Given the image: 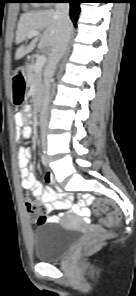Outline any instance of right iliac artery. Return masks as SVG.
Here are the masks:
<instances>
[{
  "instance_id": "right-iliac-artery-1",
  "label": "right iliac artery",
  "mask_w": 136,
  "mask_h": 296,
  "mask_svg": "<svg viewBox=\"0 0 136 296\" xmlns=\"http://www.w3.org/2000/svg\"><path fill=\"white\" fill-rule=\"evenodd\" d=\"M41 161H42L43 165H47L46 157L44 154L41 155Z\"/></svg>"
}]
</instances>
